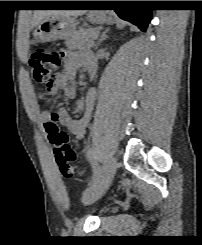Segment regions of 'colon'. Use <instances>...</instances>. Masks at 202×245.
Returning <instances> with one entry per match:
<instances>
[{
  "instance_id": "1",
  "label": "colon",
  "mask_w": 202,
  "mask_h": 245,
  "mask_svg": "<svg viewBox=\"0 0 202 245\" xmlns=\"http://www.w3.org/2000/svg\"><path fill=\"white\" fill-rule=\"evenodd\" d=\"M61 54L57 51L40 49L30 57V68L33 80L43 85V97L47 100L53 98L58 91L56 70L61 63ZM55 155L56 163L66 178L80 176L82 169L77 163L76 153L67 144V135L58 126V117L52 115L44 123Z\"/></svg>"
}]
</instances>
